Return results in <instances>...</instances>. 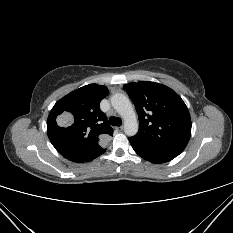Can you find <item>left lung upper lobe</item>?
I'll use <instances>...</instances> for the list:
<instances>
[{
	"label": "left lung upper lobe",
	"instance_id": "1",
	"mask_svg": "<svg viewBox=\"0 0 233 233\" xmlns=\"http://www.w3.org/2000/svg\"><path fill=\"white\" fill-rule=\"evenodd\" d=\"M124 89L139 118V131L129 140L155 152L178 156L191 135V118L181 97L155 82L129 83Z\"/></svg>",
	"mask_w": 233,
	"mask_h": 233
}]
</instances>
